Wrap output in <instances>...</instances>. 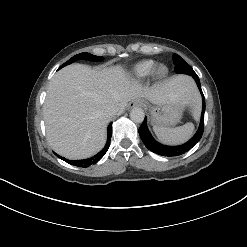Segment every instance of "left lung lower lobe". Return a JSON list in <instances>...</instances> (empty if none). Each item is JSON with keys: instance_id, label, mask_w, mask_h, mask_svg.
<instances>
[{"instance_id": "obj_1", "label": "left lung lower lobe", "mask_w": 247, "mask_h": 247, "mask_svg": "<svg viewBox=\"0 0 247 247\" xmlns=\"http://www.w3.org/2000/svg\"><path fill=\"white\" fill-rule=\"evenodd\" d=\"M194 80L197 83V86L201 92L202 95V101H203V106H202V114H201V121L200 125L198 128V131L196 134L186 143L179 145V146H166L158 143L155 141V139L152 137L150 134L148 127H147V118L145 117L142 125L139 128V135L145 144V146L152 152L162 155V156H178L181 154H184L188 150H190L202 137L203 134V129H204V112H205V98L203 95V92L201 90V85L199 78L196 75L192 76Z\"/></svg>"}]
</instances>
